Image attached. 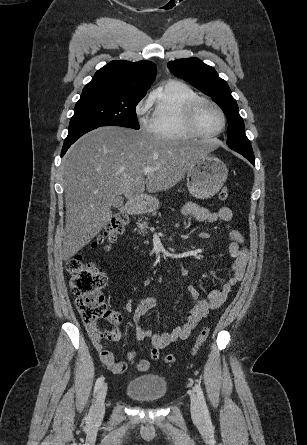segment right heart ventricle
Wrapping results in <instances>:
<instances>
[{
    "label": "right heart ventricle",
    "mask_w": 307,
    "mask_h": 445,
    "mask_svg": "<svg viewBox=\"0 0 307 445\" xmlns=\"http://www.w3.org/2000/svg\"><path fill=\"white\" fill-rule=\"evenodd\" d=\"M196 98L197 94L185 84H159L145 102L153 112L151 131L160 136V140H193L194 133L188 125L185 111Z\"/></svg>",
    "instance_id": "right-heart-ventricle-1"
}]
</instances>
